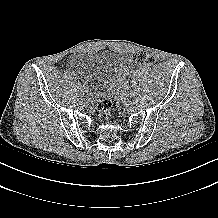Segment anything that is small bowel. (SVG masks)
Returning a JSON list of instances; mask_svg holds the SVG:
<instances>
[{"instance_id":"small-bowel-1","label":"small bowel","mask_w":218,"mask_h":218,"mask_svg":"<svg viewBox=\"0 0 218 218\" xmlns=\"http://www.w3.org/2000/svg\"><path fill=\"white\" fill-rule=\"evenodd\" d=\"M69 62L71 63V64H75V63H77V59H76V57L75 56H71L70 58H69Z\"/></svg>"}]
</instances>
